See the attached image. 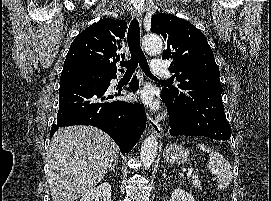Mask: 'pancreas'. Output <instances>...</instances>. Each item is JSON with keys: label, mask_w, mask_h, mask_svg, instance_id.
Returning a JSON list of instances; mask_svg holds the SVG:
<instances>
[{"label": "pancreas", "mask_w": 271, "mask_h": 201, "mask_svg": "<svg viewBox=\"0 0 271 201\" xmlns=\"http://www.w3.org/2000/svg\"><path fill=\"white\" fill-rule=\"evenodd\" d=\"M193 186H194L195 188H197V189H201V188H202V187H201L200 181H193Z\"/></svg>", "instance_id": "1"}]
</instances>
